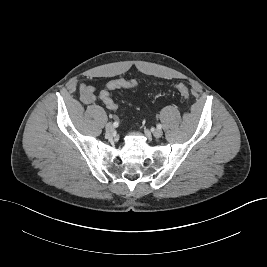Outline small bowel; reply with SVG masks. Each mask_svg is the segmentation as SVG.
I'll return each mask as SVG.
<instances>
[{
    "instance_id": "small-bowel-1",
    "label": "small bowel",
    "mask_w": 267,
    "mask_h": 267,
    "mask_svg": "<svg viewBox=\"0 0 267 267\" xmlns=\"http://www.w3.org/2000/svg\"><path fill=\"white\" fill-rule=\"evenodd\" d=\"M80 98L83 103L91 104L96 101L95 90L91 86L81 85L80 87Z\"/></svg>"
}]
</instances>
